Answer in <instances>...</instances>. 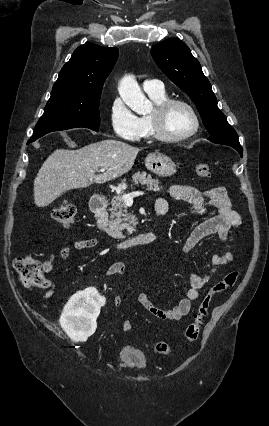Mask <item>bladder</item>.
Wrapping results in <instances>:
<instances>
[{"mask_svg":"<svg viewBox=\"0 0 269 426\" xmlns=\"http://www.w3.org/2000/svg\"><path fill=\"white\" fill-rule=\"evenodd\" d=\"M119 358L130 367L142 368L147 363L145 353L131 345H125L120 349Z\"/></svg>","mask_w":269,"mask_h":426,"instance_id":"obj_1","label":"bladder"}]
</instances>
